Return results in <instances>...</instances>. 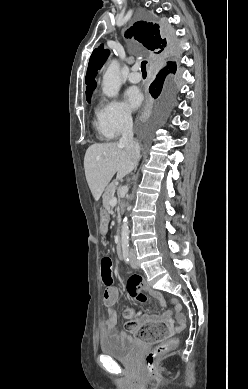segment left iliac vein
I'll return each instance as SVG.
<instances>
[{
  "mask_svg": "<svg viewBox=\"0 0 248 389\" xmlns=\"http://www.w3.org/2000/svg\"><path fill=\"white\" fill-rule=\"evenodd\" d=\"M130 265L132 268L136 269L138 268V263H137V260H136V256L135 255H131L130 256Z\"/></svg>",
  "mask_w": 248,
  "mask_h": 389,
  "instance_id": "obj_1",
  "label": "left iliac vein"
}]
</instances>
